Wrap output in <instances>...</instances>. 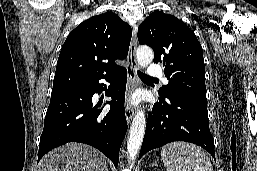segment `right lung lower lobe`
<instances>
[{"label": "right lung lower lobe", "mask_w": 257, "mask_h": 171, "mask_svg": "<svg viewBox=\"0 0 257 171\" xmlns=\"http://www.w3.org/2000/svg\"><path fill=\"white\" fill-rule=\"evenodd\" d=\"M111 82L107 96L112 100L108 112L94 106L92 96L101 93L100 79ZM86 83L53 87L40 137L38 161L50 150L67 142L91 145L105 154L117 167L121 143L127 131L124 112L126 69L120 67L110 76Z\"/></svg>", "instance_id": "1"}]
</instances>
